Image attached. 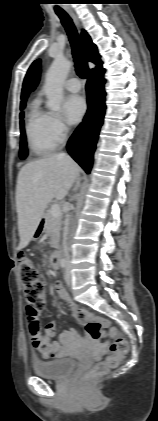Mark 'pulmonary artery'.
Wrapping results in <instances>:
<instances>
[{"label": "pulmonary artery", "instance_id": "e3ab8cb5", "mask_svg": "<svg viewBox=\"0 0 158 421\" xmlns=\"http://www.w3.org/2000/svg\"><path fill=\"white\" fill-rule=\"evenodd\" d=\"M65 88L70 92H78L81 89V83L78 78H70L65 82Z\"/></svg>", "mask_w": 158, "mask_h": 421}]
</instances>
